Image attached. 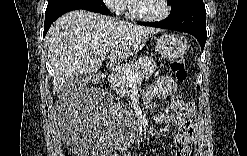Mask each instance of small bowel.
<instances>
[{"instance_id": "1", "label": "small bowel", "mask_w": 247, "mask_h": 156, "mask_svg": "<svg viewBox=\"0 0 247 156\" xmlns=\"http://www.w3.org/2000/svg\"><path fill=\"white\" fill-rule=\"evenodd\" d=\"M176 87V83L171 77L160 76L146 88L144 99L149 101L156 96L169 100L170 112L159 114L155 120L159 124H176L178 126V134L175 138L178 147L174 150V155L184 156L190 155L194 139V105L176 96Z\"/></svg>"}]
</instances>
